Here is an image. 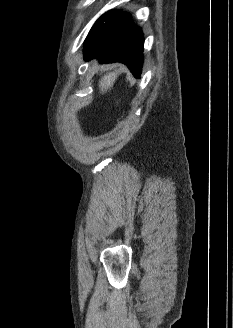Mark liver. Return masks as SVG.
Listing matches in <instances>:
<instances>
[{"mask_svg":"<svg viewBox=\"0 0 233 328\" xmlns=\"http://www.w3.org/2000/svg\"><path fill=\"white\" fill-rule=\"evenodd\" d=\"M117 74V72H110L100 79L99 88L102 93L107 92V90L113 86L115 80L117 79Z\"/></svg>","mask_w":233,"mask_h":328,"instance_id":"liver-1","label":"liver"}]
</instances>
